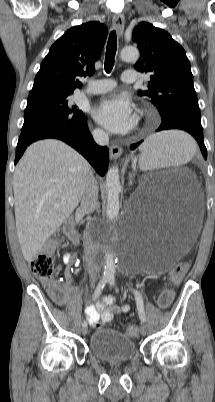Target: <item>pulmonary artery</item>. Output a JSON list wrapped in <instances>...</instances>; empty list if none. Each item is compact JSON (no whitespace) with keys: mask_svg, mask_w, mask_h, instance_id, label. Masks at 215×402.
Segmentation results:
<instances>
[{"mask_svg":"<svg viewBox=\"0 0 215 402\" xmlns=\"http://www.w3.org/2000/svg\"><path fill=\"white\" fill-rule=\"evenodd\" d=\"M122 81L125 83H134L137 81V74L133 70H127L122 74ZM116 83L112 79H100L89 82L86 92L89 94H101L112 90Z\"/></svg>","mask_w":215,"mask_h":402,"instance_id":"obj_1","label":"pulmonary artery"}]
</instances>
